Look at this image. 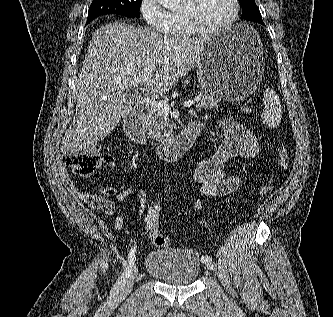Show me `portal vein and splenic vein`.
Wrapping results in <instances>:
<instances>
[{
    "mask_svg": "<svg viewBox=\"0 0 333 317\" xmlns=\"http://www.w3.org/2000/svg\"><path fill=\"white\" fill-rule=\"evenodd\" d=\"M200 99H201L200 97H196L192 100L185 101L184 106L190 107V106L194 105ZM141 100L144 103H146L147 105H150L151 107L156 108L157 110H159L160 112H162L164 114H168L171 112V107L166 102L157 101V100L151 99L149 97H141Z\"/></svg>",
    "mask_w": 333,
    "mask_h": 317,
    "instance_id": "portal-vein-and-splenic-vein-1",
    "label": "portal vein and splenic vein"
}]
</instances>
